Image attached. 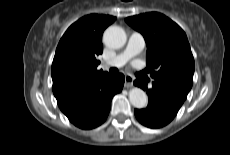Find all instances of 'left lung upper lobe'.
I'll return each mask as SVG.
<instances>
[{
  "label": "left lung upper lobe",
  "instance_id": "obj_1",
  "mask_svg": "<svg viewBox=\"0 0 230 155\" xmlns=\"http://www.w3.org/2000/svg\"><path fill=\"white\" fill-rule=\"evenodd\" d=\"M125 21L145 38L150 76L188 94L193 84L194 58L185 32L157 12L128 17Z\"/></svg>",
  "mask_w": 230,
  "mask_h": 155
}]
</instances>
